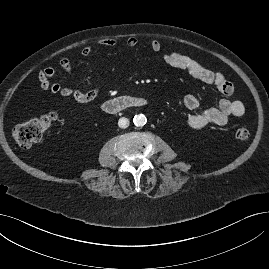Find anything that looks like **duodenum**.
I'll return each mask as SVG.
<instances>
[{"mask_svg": "<svg viewBox=\"0 0 269 269\" xmlns=\"http://www.w3.org/2000/svg\"><path fill=\"white\" fill-rule=\"evenodd\" d=\"M148 104V100L142 97L122 96L107 100L102 108L108 114H116L129 108H140Z\"/></svg>", "mask_w": 269, "mask_h": 269, "instance_id": "410a0bca", "label": "duodenum"}]
</instances>
